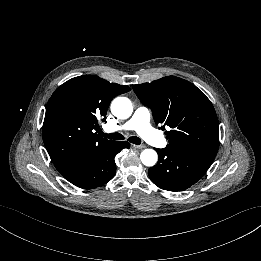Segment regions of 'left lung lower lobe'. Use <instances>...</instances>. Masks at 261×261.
<instances>
[{
	"instance_id": "left-lung-lower-lobe-1",
	"label": "left lung lower lobe",
	"mask_w": 261,
	"mask_h": 261,
	"mask_svg": "<svg viewBox=\"0 0 261 261\" xmlns=\"http://www.w3.org/2000/svg\"><path fill=\"white\" fill-rule=\"evenodd\" d=\"M159 160L148 170L151 181L168 191H181L196 183L213 160L206 157L163 149H156Z\"/></svg>"
}]
</instances>
